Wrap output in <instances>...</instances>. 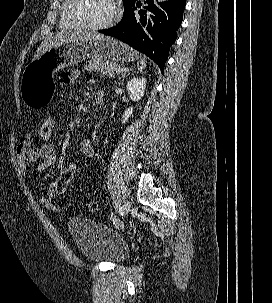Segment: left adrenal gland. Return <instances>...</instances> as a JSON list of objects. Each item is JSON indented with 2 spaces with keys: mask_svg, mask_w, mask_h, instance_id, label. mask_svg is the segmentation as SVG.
<instances>
[{
  "mask_svg": "<svg viewBox=\"0 0 272 303\" xmlns=\"http://www.w3.org/2000/svg\"><path fill=\"white\" fill-rule=\"evenodd\" d=\"M129 74H130V72L124 73L121 77H119V79L124 78V77L128 76Z\"/></svg>",
  "mask_w": 272,
  "mask_h": 303,
  "instance_id": "a2214340",
  "label": "left adrenal gland"
}]
</instances>
